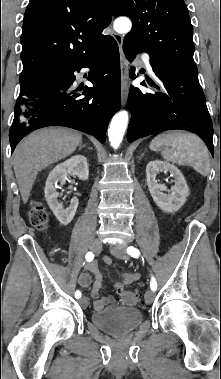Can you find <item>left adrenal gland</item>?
<instances>
[{
    "mask_svg": "<svg viewBox=\"0 0 221 379\" xmlns=\"http://www.w3.org/2000/svg\"><path fill=\"white\" fill-rule=\"evenodd\" d=\"M143 155H144V153H143V154H141V156L139 157V160H141V158L143 157Z\"/></svg>",
    "mask_w": 221,
    "mask_h": 379,
    "instance_id": "1",
    "label": "left adrenal gland"
}]
</instances>
